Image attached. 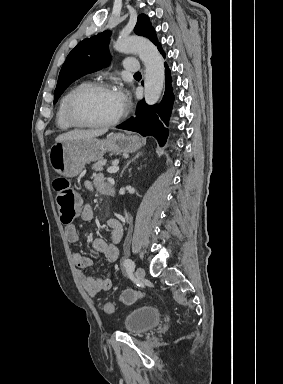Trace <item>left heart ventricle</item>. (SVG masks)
<instances>
[{"label": "left heart ventricle", "instance_id": "1", "mask_svg": "<svg viewBox=\"0 0 283 384\" xmlns=\"http://www.w3.org/2000/svg\"><path fill=\"white\" fill-rule=\"evenodd\" d=\"M120 110L112 90H96L78 100L75 116L81 123H104L116 117Z\"/></svg>", "mask_w": 283, "mask_h": 384}]
</instances>
